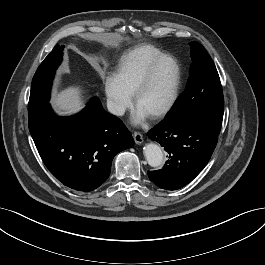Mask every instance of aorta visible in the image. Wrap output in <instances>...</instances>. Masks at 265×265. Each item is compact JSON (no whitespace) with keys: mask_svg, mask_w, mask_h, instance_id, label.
Wrapping results in <instances>:
<instances>
[{"mask_svg":"<svg viewBox=\"0 0 265 265\" xmlns=\"http://www.w3.org/2000/svg\"><path fill=\"white\" fill-rule=\"evenodd\" d=\"M144 155L151 167H159L163 162V152L159 145L148 143L144 147Z\"/></svg>","mask_w":265,"mask_h":265,"instance_id":"aorta-1","label":"aorta"}]
</instances>
